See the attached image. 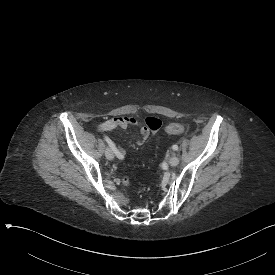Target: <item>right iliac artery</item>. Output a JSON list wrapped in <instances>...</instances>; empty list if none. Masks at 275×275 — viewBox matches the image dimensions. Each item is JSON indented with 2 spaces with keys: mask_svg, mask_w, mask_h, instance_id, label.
I'll return each mask as SVG.
<instances>
[{
  "mask_svg": "<svg viewBox=\"0 0 275 275\" xmlns=\"http://www.w3.org/2000/svg\"><path fill=\"white\" fill-rule=\"evenodd\" d=\"M104 139L109 144V146L111 147V149L117 154V157L119 159H123L124 156L122 154H120L119 152H116L115 146H114L113 142L110 140V138L107 137V136H104Z\"/></svg>",
  "mask_w": 275,
  "mask_h": 275,
  "instance_id": "1",
  "label": "right iliac artery"
}]
</instances>
